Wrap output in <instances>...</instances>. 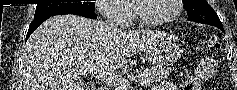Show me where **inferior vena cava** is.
Listing matches in <instances>:
<instances>
[{"mask_svg": "<svg viewBox=\"0 0 237 90\" xmlns=\"http://www.w3.org/2000/svg\"><path fill=\"white\" fill-rule=\"evenodd\" d=\"M109 12H111V8H109ZM105 24L109 32H117L116 22H113V20H109V18H107V20H105Z\"/></svg>", "mask_w": 237, "mask_h": 90, "instance_id": "602c4592", "label": "inferior vena cava"}]
</instances>
